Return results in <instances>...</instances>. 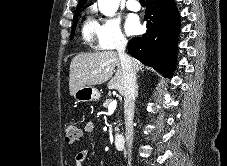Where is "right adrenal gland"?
I'll use <instances>...</instances> for the list:
<instances>
[{"label":"right adrenal gland","instance_id":"obj_1","mask_svg":"<svg viewBox=\"0 0 227 166\" xmlns=\"http://www.w3.org/2000/svg\"><path fill=\"white\" fill-rule=\"evenodd\" d=\"M136 95H138V85H137Z\"/></svg>","mask_w":227,"mask_h":166}]
</instances>
